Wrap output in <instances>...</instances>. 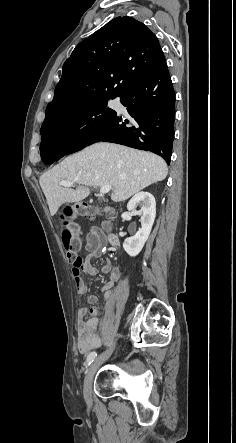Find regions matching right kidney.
Instances as JSON below:
<instances>
[{"mask_svg":"<svg viewBox=\"0 0 236 443\" xmlns=\"http://www.w3.org/2000/svg\"><path fill=\"white\" fill-rule=\"evenodd\" d=\"M141 207V229L132 237L125 239L123 248L131 256H137L147 241L156 216V202L149 192L135 194L127 204V210L133 215L138 214L136 207Z\"/></svg>","mask_w":236,"mask_h":443,"instance_id":"obj_1","label":"right kidney"}]
</instances>
